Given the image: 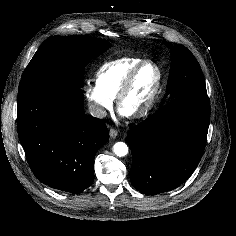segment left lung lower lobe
Instances as JSON below:
<instances>
[{
	"label": "left lung lower lobe",
	"mask_w": 236,
	"mask_h": 236,
	"mask_svg": "<svg viewBox=\"0 0 236 236\" xmlns=\"http://www.w3.org/2000/svg\"><path fill=\"white\" fill-rule=\"evenodd\" d=\"M210 121L207 93L173 98L130 128L132 185L143 194L167 192L185 182L204 153Z\"/></svg>",
	"instance_id": "obj_1"
}]
</instances>
